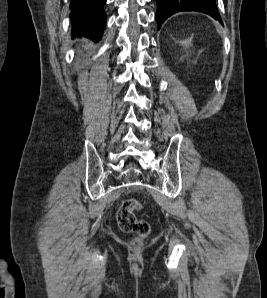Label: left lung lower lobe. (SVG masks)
Returning a JSON list of instances; mask_svg holds the SVG:
<instances>
[{"mask_svg":"<svg viewBox=\"0 0 267 298\" xmlns=\"http://www.w3.org/2000/svg\"><path fill=\"white\" fill-rule=\"evenodd\" d=\"M156 2L158 30L168 17L180 11L203 12L222 23L215 0H156Z\"/></svg>","mask_w":267,"mask_h":298,"instance_id":"obj_1","label":"left lung lower lobe"}]
</instances>
